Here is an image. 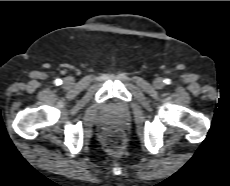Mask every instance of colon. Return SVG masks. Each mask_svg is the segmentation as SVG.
Here are the masks:
<instances>
[{"label": "colon", "mask_w": 230, "mask_h": 186, "mask_svg": "<svg viewBox=\"0 0 230 186\" xmlns=\"http://www.w3.org/2000/svg\"><path fill=\"white\" fill-rule=\"evenodd\" d=\"M102 144L111 155L119 156L124 151L125 138L119 129L109 128L103 133Z\"/></svg>", "instance_id": "5ec220e1"}]
</instances>
